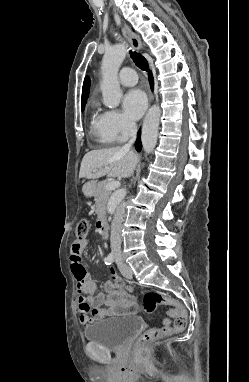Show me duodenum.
I'll use <instances>...</instances> for the list:
<instances>
[{
    "instance_id": "1",
    "label": "duodenum",
    "mask_w": 249,
    "mask_h": 382,
    "mask_svg": "<svg viewBox=\"0 0 249 382\" xmlns=\"http://www.w3.org/2000/svg\"><path fill=\"white\" fill-rule=\"evenodd\" d=\"M97 227H98L99 233L101 234L102 237H104V238L109 237L108 224L104 218L99 219V221L97 223Z\"/></svg>"
}]
</instances>
